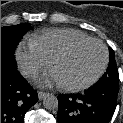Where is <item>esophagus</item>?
Instances as JSON below:
<instances>
[{"label": "esophagus", "instance_id": "esophagus-1", "mask_svg": "<svg viewBox=\"0 0 123 123\" xmlns=\"http://www.w3.org/2000/svg\"><path fill=\"white\" fill-rule=\"evenodd\" d=\"M49 93L44 92V91H39L38 92V98L39 100H42L44 97H46Z\"/></svg>", "mask_w": 123, "mask_h": 123}]
</instances>
